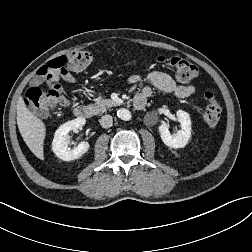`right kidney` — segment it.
Wrapping results in <instances>:
<instances>
[{"label":"right kidney","mask_w":252,"mask_h":252,"mask_svg":"<svg viewBox=\"0 0 252 252\" xmlns=\"http://www.w3.org/2000/svg\"><path fill=\"white\" fill-rule=\"evenodd\" d=\"M85 123L84 118H76L64 123L57 129L52 142V150L58 158L64 161H72L80 158L88 151L90 147L88 142L83 141L74 149H70L68 141V133L84 126Z\"/></svg>","instance_id":"obj_1"}]
</instances>
